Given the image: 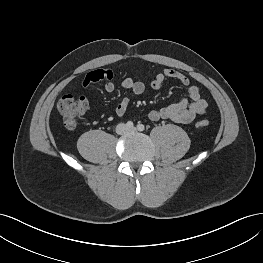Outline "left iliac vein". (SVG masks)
<instances>
[{"label": "left iliac vein", "instance_id": "1", "mask_svg": "<svg viewBox=\"0 0 263 263\" xmlns=\"http://www.w3.org/2000/svg\"><path fill=\"white\" fill-rule=\"evenodd\" d=\"M128 131H130V132H135V131H136V128H135V127L129 128Z\"/></svg>", "mask_w": 263, "mask_h": 263}]
</instances>
